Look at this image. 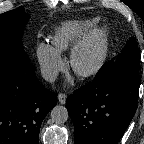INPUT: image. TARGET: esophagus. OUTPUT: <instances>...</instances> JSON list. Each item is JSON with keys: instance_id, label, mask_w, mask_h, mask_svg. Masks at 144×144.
<instances>
[{"instance_id": "34e87169", "label": "esophagus", "mask_w": 144, "mask_h": 144, "mask_svg": "<svg viewBox=\"0 0 144 144\" xmlns=\"http://www.w3.org/2000/svg\"><path fill=\"white\" fill-rule=\"evenodd\" d=\"M66 99H67V95L64 93H60L58 95V100L61 104H65L66 103Z\"/></svg>"}]
</instances>
